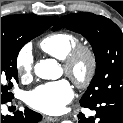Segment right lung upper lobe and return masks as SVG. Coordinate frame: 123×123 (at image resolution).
Returning a JSON list of instances; mask_svg holds the SVG:
<instances>
[{
	"instance_id": "1",
	"label": "right lung upper lobe",
	"mask_w": 123,
	"mask_h": 123,
	"mask_svg": "<svg viewBox=\"0 0 123 123\" xmlns=\"http://www.w3.org/2000/svg\"><path fill=\"white\" fill-rule=\"evenodd\" d=\"M58 19L53 17H40L29 14H16L1 18V34L7 35L15 31L20 26H41L47 29Z\"/></svg>"
}]
</instances>
